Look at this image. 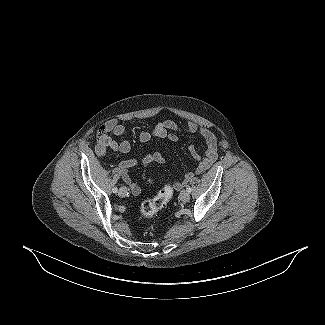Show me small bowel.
<instances>
[{
    "instance_id": "obj_1",
    "label": "small bowel",
    "mask_w": 325,
    "mask_h": 325,
    "mask_svg": "<svg viewBox=\"0 0 325 325\" xmlns=\"http://www.w3.org/2000/svg\"><path fill=\"white\" fill-rule=\"evenodd\" d=\"M199 132L203 137L206 145L205 155L202 157L194 146H189L188 151L192 158L196 161L197 165L193 172H188L182 182H175L174 187L181 189L186 182L193 177L194 174H199L207 169L215 162L217 158V139L215 135L205 127H199L195 122L189 121L185 127H179L172 120H164L157 123L153 129L142 131L139 135L141 142H148L152 138L166 139L169 142H177V133L194 134ZM127 130L124 125L119 123L116 119L108 121L103 128V133L100 136L95 151L99 157H105L109 150L118 151L122 154H126L131 149V144L128 140L117 141L115 137H124ZM164 155L163 151L158 149L152 153L146 154L142 158L144 166H148L153 163H163ZM136 164L135 159H125L119 162L118 167L120 174L124 182L130 187L131 192L134 195H138L141 192L140 186L129 175L128 169Z\"/></svg>"
}]
</instances>
